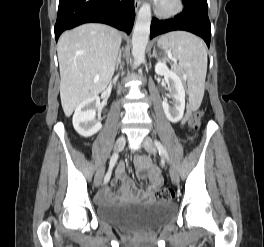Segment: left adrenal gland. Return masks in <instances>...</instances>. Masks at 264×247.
<instances>
[{
  "mask_svg": "<svg viewBox=\"0 0 264 247\" xmlns=\"http://www.w3.org/2000/svg\"><path fill=\"white\" fill-rule=\"evenodd\" d=\"M152 57L158 58V56L156 54V49L155 48L153 49L152 55H150V58H152Z\"/></svg>",
  "mask_w": 264,
  "mask_h": 247,
  "instance_id": "1",
  "label": "left adrenal gland"
}]
</instances>
